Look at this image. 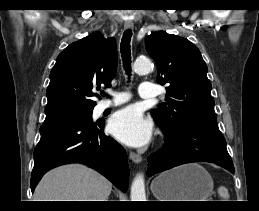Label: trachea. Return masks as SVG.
I'll return each instance as SVG.
<instances>
[{"mask_svg":"<svg viewBox=\"0 0 259 211\" xmlns=\"http://www.w3.org/2000/svg\"><path fill=\"white\" fill-rule=\"evenodd\" d=\"M132 37V31L130 29L123 33V37L120 44V52L123 59V66L128 76L131 75V49L130 42ZM100 94L105 96V92L101 91Z\"/></svg>","mask_w":259,"mask_h":211,"instance_id":"1","label":"trachea"}]
</instances>
